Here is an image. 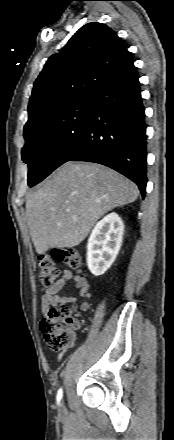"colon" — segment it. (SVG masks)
I'll return each mask as SVG.
<instances>
[{
  "label": "colon",
  "mask_w": 174,
  "mask_h": 440,
  "mask_svg": "<svg viewBox=\"0 0 174 440\" xmlns=\"http://www.w3.org/2000/svg\"><path fill=\"white\" fill-rule=\"evenodd\" d=\"M56 262H64L71 269L80 271L82 259L80 253L73 248H55L38 257L40 268L39 277L43 286H51L58 278ZM72 309L63 306L51 309L46 318L40 323L46 345L55 350L62 351L70 348L75 340V323L71 317Z\"/></svg>",
  "instance_id": "colon-1"
}]
</instances>
